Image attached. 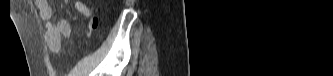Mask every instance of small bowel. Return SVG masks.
Segmentation results:
<instances>
[{
	"mask_svg": "<svg viewBox=\"0 0 333 76\" xmlns=\"http://www.w3.org/2000/svg\"><path fill=\"white\" fill-rule=\"evenodd\" d=\"M40 18L45 22L46 44L51 53H58L61 50L62 38L69 37L71 34V25L68 20L60 19L56 23L51 21L52 7L47 0H36ZM74 8L84 17L88 18L87 30L91 34L98 26L97 17H92L91 9L81 0L73 2Z\"/></svg>",
	"mask_w": 333,
	"mask_h": 76,
	"instance_id": "c3829d8e",
	"label": "small bowel"
}]
</instances>
